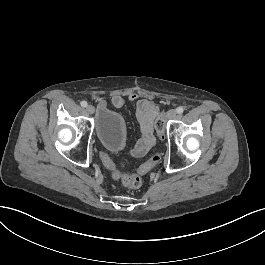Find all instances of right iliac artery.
Returning <instances> with one entry per match:
<instances>
[{"label":"right iliac artery","instance_id":"82829eb1","mask_svg":"<svg viewBox=\"0 0 265 265\" xmlns=\"http://www.w3.org/2000/svg\"><path fill=\"white\" fill-rule=\"evenodd\" d=\"M80 104H81L82 107H86L87 106V102L86 101H82Z\"/></svg>","mask_w":265,"mask_h":265}]
</instances>
